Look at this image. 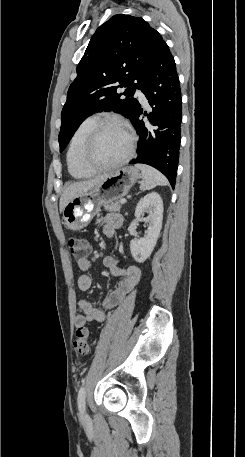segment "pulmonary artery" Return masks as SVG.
Instances as JSON below:
<instances>
[{
  "label": "pulmonary artery",
  "instance_id": "pulmonary-artery-1",
  "mask_svg": "<svg viewBox=\"0 0 245 457\" xmlns=\"http://www.w3.org/2000/svg\"><path fill=\"white\" fill-rule=\"evenodd\" d=\"M133 96H134L136 102H142L143 103V105H142L143 108H145V109L148 108L149 105H148V103L145 102L146 95H145L143 89H134Z\"/></svg>",
  "mask_w": 245,
  "mask_h": 457
}]
</instances>
